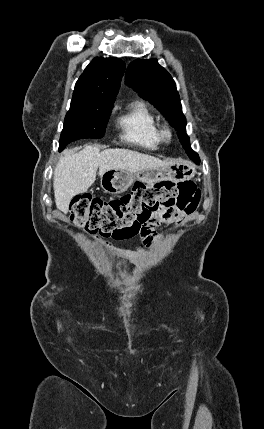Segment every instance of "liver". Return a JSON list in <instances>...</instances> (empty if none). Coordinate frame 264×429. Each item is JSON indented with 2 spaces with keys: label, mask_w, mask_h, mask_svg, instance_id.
Returning <instances> with one entry per match:
<instances>
[{
  "label": "liver",
  "mask_w": 264,
  "mask_h": 429,
  "mask_svg": "<svg viewBox=\"0 0 264 429\" xmlns=\"http://www.w3.org/2000/svg\"><path fill=\"white\" fill-rule=\"evenodd\" d=\"M172 160L156 157L128 149H106L100 152L97 146H87L79 152L70 151L61 156L53 177L54 196L57 208L67 213L72 198L86 192L96 180L108 170H125L137 174L149 168H164Z\"/></svg>",
  "instance_id": "liver-1"
}]
</instances>
